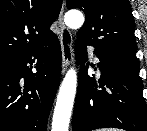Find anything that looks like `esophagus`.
Wrapping results in <instances>:
<instances>
[{
    "instance_id": "obj_1",
    "label": "esophagus",
    "mask_w": 147,
    "mask_h": 131,
    "mask_svg": "<svg viewBox=\"0 0 147 131\" xmlns=\"http://www.w3.org/2000/svg\"><path fill=\"white\" fill-rule=\"evenodd\" d=\"M64 14V3L62 5L60 14L58 16V24L60 27V44L62 49V73L64 74L67 70V67L73 61V37L70 30L66 27L63 21Z\"/></svg>"
}]
</instances>
